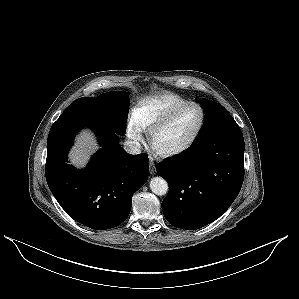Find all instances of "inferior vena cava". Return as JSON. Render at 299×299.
Masks as SVG:
<instances>
[{"instance_id": "602c4592", "label": "inferior vena cava", "mask_w": 299, "mask_h": 299, "mask_svg": "<svg viewBox=\"0 0 299 299\" xmlns=\"http://www.w3.org/2000/svg\"><path fill=\"white\" fill-rule=\"evenodd\" d=\"M124 150L131 155H138L141 153V145L139 142L128 140L124 142Z\"/></svg>"}]
</instances>
